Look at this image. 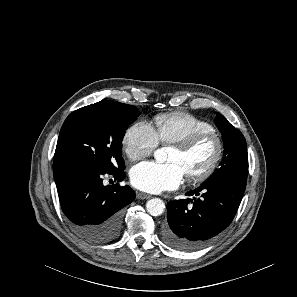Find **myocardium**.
I'll use <instances>...</instances> for the list:
<instances>
[{
    "instance_id": "f54148a6",
    "label": "myocardium",
    "mask_w": 297,
    "mask_h": 297,
    "mask_svg": "<svg viewBox=\"0 0 297 297\" xmlns=\"http://www.w3.org/2000/svg\"><path fill=\"white\" fill-rule=\"evenodd\" d=\"M209 138L213 139L217 145V151H216L215 157L213 158L212 162L202 172L194 175H188L186 177V180L188 183L195 184V183L204 182L216 172L224 157V153H225L224 141L218 132L211 130V131L197 132L195 134H192L184 139L178 140L171 144L172 147H175L183 152H188L194 147H196L198 144H200L201 142Z\"/></svg>"
}]
</instances>
